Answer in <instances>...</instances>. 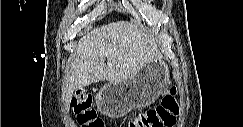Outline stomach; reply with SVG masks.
Returning a JSON list of instances; mask_svg holds the SVG:
<instances>
[{"instance_id": "0dacf381", "label": "stomach", "mask_w": 243, "mask_h": 127, "mask_svg": "<svg viewBox=\"0 0 243 127\" xmlns=\"http://www.w3.org/2000/svg\"><path fill=\"white\" fill-rule=\"evenodd\" d=\"M169 68L161 58H154L135 75L105 84L96 95L98 110L110 118H119L133 109L152 104L167 92Z\"/></svg>"}]
</instances>
